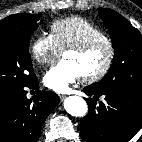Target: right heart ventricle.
I'll list each match as a JSON object with an SVG mask.
<instances>
[{"label":"right heart ventricle","mask_w":142,"mask_h":142,"mask_svg":"<svg viewBox=\"0 0 142 142\" xmlns=\"http://www.w3.org/2000/svg\"><path fill=\"white\" fill-rule=\"evenodd\" d=\"M50 36L60 51L90 38H108L100 27L80 16L54 21L50 26Z\"/></svg>","instance_id":"1"}]
</instances>
